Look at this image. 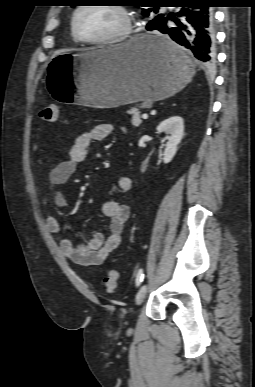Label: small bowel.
<instances>
[{
  "instance_id": "obj_1",
  "label": "small bowel",
  "mask_w": 255,
  "mask_h": 387,
  "mask_svg": "<svg viewBox=\"0 0 255 387\" xmlns=\"http://www.w3.org/2000/svg\"><path fill=\"white\" fill-rule=\"evenodd\" d=\"M113 131V125L100 123L81 133L71 146L68 158L50 169L48 181L53 187V202L58 209L64 210L67 207V200L61 191V186L74 175L78 165L85 161L90 145L107 138ZM131 187L130 177L118 178L117 189L120 192H127ZM102 213L110 220L108 235L96 233L88 243L80 245L74 244L68 238L62 239L60 250L65 257L83 266L101 265L108 255L121 244L124 226L130 217L129 206L115 199H108L102 204ZM46 227L49 232L57 234L61 231L60 220L55 216H49L46 220Z\"/></svg>"
}]
</instances>
